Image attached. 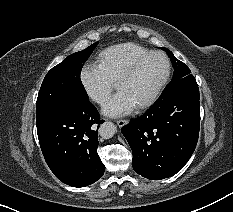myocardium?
Listing matches in <instances>:
<instances>
[{
  "instance_id": "myocardium-1",
  "label": "myocardium",
  "mask_w": 233,
  "mask_h": 212,
  "mask_svg": "<svg viewBox=\"0 0 233 212\" xmlns=\"http://www.w3.org/2000/svg\"><path fill=\"white\" fill-rule=\"evenodd\" d=\"M152 56H160L164 59L165 64H166V72H165V75H164L162 81L159 83V85L157 86L155 91L151 94V96L148 99H146L145 101H143L142 103L135 106V108L138 110H142V109L150 107L158 99V97L160 96V94L164 90L165 86L167 85V83L170 79V76H171V61H170L169 57L161 51H150V52L140 56L135 61H133L131 63V65L124 71V73L119 77V79L116 82V87L119 88V86L122 83L129 80L136 73V71L138 70L140 65L145 60H147L148 58H150Z\"/></svg>"
}]
</instances>
